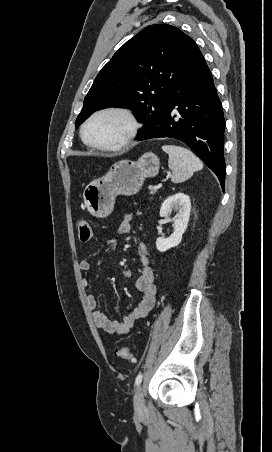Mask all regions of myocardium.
<instances>
[{
  "label": "myocardium",
  "mask_w": 272,
  "mask_h": 452,
  "mask_svg": "<svg viewBox=\"0 0 272 452\" xmlns=\"http://www.w3.org/2000/svg\"><path fill=\"white\" fill-rule=\"evenodd\" d=\"M105 114H116L123 117L127 122V131L123 138L114 144H97L92 143L86 138V129L88 125L97 117ZM139 130V123L134 114L127 108L119 106H108L93 112L83 123L81 127V138L83 142L91 148L103 151H120L127 147L136 137Z\"/></svg>",
  "instance_id": "myocardium-1"
}]
</instances>
